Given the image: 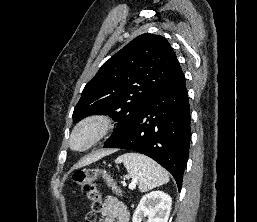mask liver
I'll list each match as a JSON object with an SVG mask.
<instances>
[{
	"label": "liver",
	"mask_w": 257,
	"mask_h": 222,
	"mask_svg": "<svg viewBox=\"0 0 257 222\" xmlns=\"http://www.w3.org/2000/svg\"><path fill=\"white\" fill-rule=\"evenodd\" d=\"M111 152H112L111 150H107V151H101V152L92 154V155H90V156L84 158V159L78 164V166L81 167V166L88 165V164H90L91 162L96 161V160L100 159L101 157L110 154Z\"/></svg>",
	"instance_id": "1"
}]
</instances>
